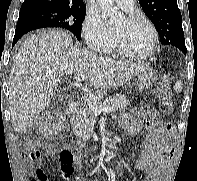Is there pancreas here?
Returning <instances> with one entry per match:
<instances>
[{"mask_svg":"<svg viewBox=\"0 0 197 181\" xmlns=\"http://www.w3.org/2000/svg\"><path fill=\"white\" fill-rule=\"evenodd\" d=\"M97 97H102L103 92H97ZM98 106H111L116 110L125 109L129 104V100L124 95H116L113 97H108L106 100L101 102H95ZM72 130L74 134L83 141H88L93 132L94 124H95V114L88 107V105H84L83 109L76 112L70 119Z\"/></svg>","mask_w":197,"mask_h":181,"instance_id":"obj_1","label":"pancreas"}]
</instances>
